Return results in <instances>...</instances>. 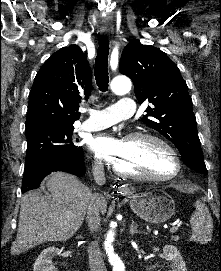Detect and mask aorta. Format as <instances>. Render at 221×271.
<instances>
[{
    "label": "aorta",
    "mask_w": 221,
    "mask_h": 271,
    "mask_svg": "<svg viewBox=\"0 0 221 271\" xmlns=\"http://www.w3.org/2000/svg\"><path fill=\"white\" fill-rule=\"evenodd\" d=\"M132 83L128 77L118 76L111 82V90L118 95L127 94L131 90ZM115 231L110 229L104 241V248L108 256V261L113 267V271H125V266L121 258L114 252L112 243L114 241Z\"/></svg>",
    "instance_id": "obj_1"
}]
</instances>
